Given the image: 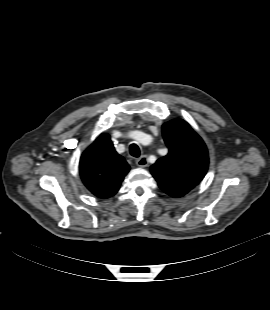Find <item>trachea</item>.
Segmentation results:
<instances>
[{
	"instance_id": "3493384b",
	"label": "trachea",
	"mask_w": 270,
	"mask_h": 310,
	"mask_svg": "<svg viewBox=\"0 0 270 310\" xmlns=\"http://www.w3.org/2000/svg\"><path fill=\"white\" fill-rule=\"evenodd\" d=\"M129 151L133 157L138 158L140 156V148L135 143L130 145Z\"/></svg>"
}]
</instances>
